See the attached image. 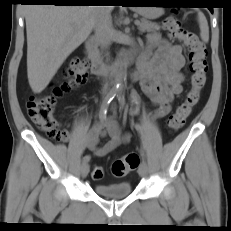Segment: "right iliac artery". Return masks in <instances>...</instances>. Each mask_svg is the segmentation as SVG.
I'll list each match as a JSON object with an SVG mask.
<instances>
[{
    "label": "right iliac artery",
    "mask_w": 231,
    "mask_h": 231,
    "mask_svg": "<svg viewBox=\"0 0 231 231\" xmlns=\"http://www.w3.org/2000/svg\"><path fill=\"white\" fill-rule=\"evenodd\" d=\"M116 94H117V89L113 88L112 90H110V92L107 94V96L103 100L101 107H100V111H99V119L100 120L106 119L109 104L115 98ZM89 160H90L89 155H86L83 157V163H88Z\"/></svg>",
    "instance_id": "82829eb1"
}]
</instances>
